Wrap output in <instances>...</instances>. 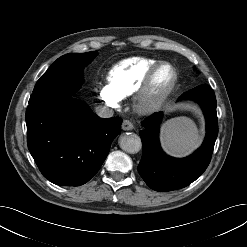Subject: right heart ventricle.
Listing matches in <instances>:
<instances>
[{
  "label": "right heart ventricle",
  "mask_w": 247,
  "mask_h": 247,
  "mask_svg": "<svg viewBox=\"0 0 247 247\" xmlns=\"http://www.w3.org/2000/svg\"><path fill=\"white\" fill-rule=\"evenodd\" d=\"M158 63L146 57H131L118 63L110 73L109 84L121 98L134 94L147 72Z\"/></svg>",
  "instance_id": "1"
}]
</instances>
